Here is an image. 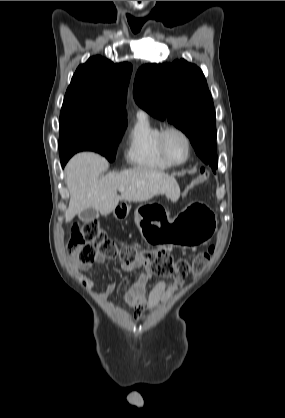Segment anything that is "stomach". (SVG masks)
Wrapping results in <instances>:
<instances>
[{
    "instance_id": "stomach-1",
    "label": "stomach",
    "mask_w": 285,
    "mask_h": 418,
    "mask_svg": "<svg viewBox=\"0 0 285 418\" xmlns=\"http://www.w3.org/2000/svg\"><path fill=\"white\" fill-rule=\"evenodd\" d=\"M154 218L146 205L137 209L135 222L144 238L153 242L165 237L170 243L184 247L209 241L217 227L214 213L200 203L188 205L167 223L157 222Z\"/></svg>"
}]
</instances>
